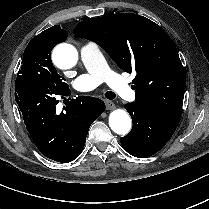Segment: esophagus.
Wrapping results in <instances>:
<instances>
[{"label":"esophagus","instance_id":"esophagus-1","mask_svg":"<svg viewBox=\"0 0 209 209\" xmlns=\"http://www.w3.org/2000/svg\"><path fill=\"white\" fill-rule=\"evenodd\" d=\"M105 104H106V109L107 110H112V109L115 108V104L112 101H110V100H106Z\"/></svg>","mask_w":209,"mask_h":209}]
</instances>
